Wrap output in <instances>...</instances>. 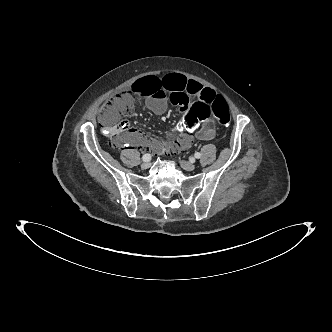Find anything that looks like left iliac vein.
I'll list each match as a JSON object with an SVG mask.
<instances>
[{
	"label": "left iliac vein",
	"mask_w": 332,
	"mask_h": 332,
	"mask_svg": "<svg viewBox=\"0 0 332 332\" xmlns=\"http://www.w3.org/2000/svg\"><path fill=\"white\" fill-rule=\"evenodd\" d=\"M180 165L186 171H193L196 168L193 163L188 161H180Z\"/></svg>",
	"instance_id": "left-iliac-vein-1"
}]
</instances>
